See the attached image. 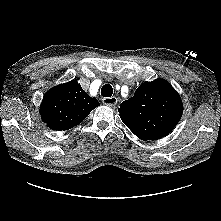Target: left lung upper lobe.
I'll list each match as a JSON object with an SVG mask.
<instances>
[{
	"label": "left lung upper lobe",
	"instance_id": "5c2ea615",
	"mask_svg": "<svg viewBox=\"0 0 221 221\" xmlns=\"http://www.w3.org/2000/svg\"><path fill=\"white\" fill-rule=\"evenodd\" d=\"M123 123L140 139L157 140L176 126L183 112L180 96L165 80L140 85L118 109Z\"/></svg>",
	"mask_w": 221,
	"mask_h": 221
}]
</instances>
